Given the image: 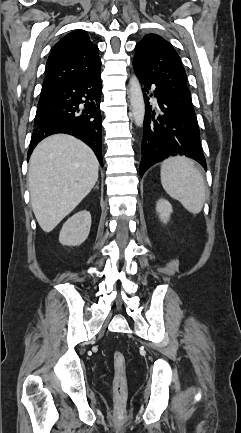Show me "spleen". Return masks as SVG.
<instances>
[{"label":"spleen","instance_id":"1","mask_svg":"<svg viewBox=\"0 0 241 433\" xmlns=\"http://www.w3.org/2000/svg\"><path fill=\"white\" fill-rule=\"evenodd\" d=\"M161 183L170 197L190 213L199 214L205 202V183L194 162L184 156L170 157L161 165Z\"/></svg>","mask_w":241,"mask_h":433}]
</instances>
